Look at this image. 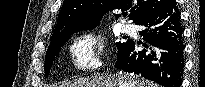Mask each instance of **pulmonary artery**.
<instances>
[{"instance_id": "1", "label": "pulmonary artery", "mask_w": 205, "mask_h": 87, "mask_svg": "<svg viewBox=\"0 0 205 87\" xmlns=\"http://www.w3.org/2000/svg\"><path fill=\"white\" fill-rule=\"evenodd\" d=\"M122 30L126 33H134L135 32L134 26L132 24H129V23L122 24Z\"/></svg>"}]
</instances>
